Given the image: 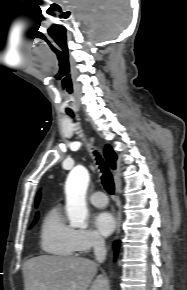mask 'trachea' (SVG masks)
Returning a JSON list of instances; mask_svg holds the SVG:
<instances>
[{"label": "trachea", "mask_w": 187, "mask_h": 290, "mask_svg": "<svg viewBox=\"0 0 187 290\" xmlns=\"http://www.w3.org/2000/svg\"><path fill=\"white\" fill-rule=\"evenodd\" d=\"M68 115L70 117H74L73 113H68ZM94 154L96 156L97 164L99 165V168L102 172V185L109 194H114L115 187L113 177L101 156L97 152H94Z\"/></svg>", "instance_id": "1"}]
</instances>
